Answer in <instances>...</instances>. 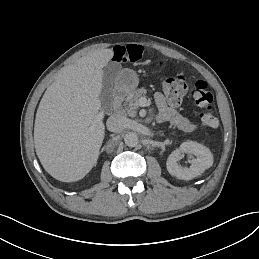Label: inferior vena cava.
Segmentation results:
<instances>
[{
  "label": "inferior vena cava",
  "instance_id": "602c4592",
  "mask_svg": "<svg viewBox=\"0 0 259 259\" xmlns=\"http://www.w3.org/2000/svg\"><path fill=\"white\" fill-rule=\"evenodd\" d=\"M126 117L120 114H113L107 119V128L115 133L125 129Z\"/></svg>",
  "mask_w": 259,
  "mask_h": 259
}]
</instances>
